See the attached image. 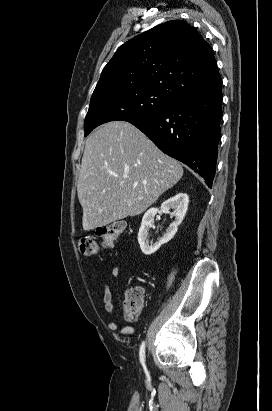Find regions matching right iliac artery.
I'll list each match as a JSON object with an SVG mask.
<instances>
[{
    "mask_svg": "<svg viewBox=\"0 0 272 411\" xmlns=\"http://www.w3.org/2000/svg\"><path fill=\"white\" fill-rule=\"evenodd\" d=\"M139 357H140V363L144 367L145 366V342L144 341L142 342L140 346Z\"/></svg>",
    "mask_w": 272,
    "mask_h": 411,
    "instance_id": "1",
    "label": "right iliac artery"
}]
</instances>
